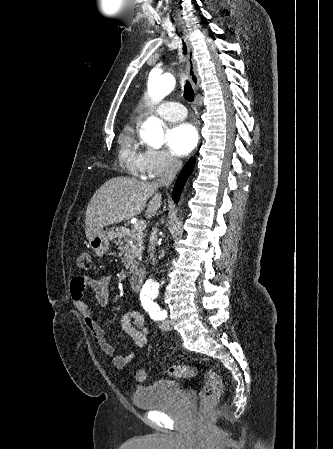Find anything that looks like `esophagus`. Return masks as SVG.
Listing matches in <instances>:
<instances>
[{
	"instance_id": "1",
	"label": "esophagus",
	"mask_w": 333,
	"mask_h": 449,
	"mask_svg": "<svg viewBox=\"0 0 333 449\" xmlns=\"http://www.w3.org/2000/svg\"><path fill=\"white\" fill-rule=\"evenodd\" d=\"M182 37H183L184 42L187 47V58H186L187 75L189 77V80H190L193 88L197 91L199 88L200 79H199V76L197 73V66H196V61L194 59L193 47L191 45L189 35L186 31L182 32Z\"/></svg>"
}]
</instances>
